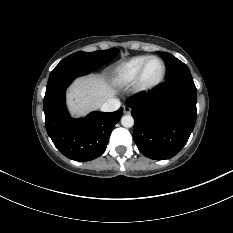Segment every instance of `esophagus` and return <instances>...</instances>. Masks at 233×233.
Listing matches in <instances>:
<instances>
[{"label": "esophagus", "instance_id": "obj_1", "mask_svg": "<svg viewBox=\"0 0 233 233\" xmlns=\"http://www.w3.org/2000/svg\"><path fill=\"white\" fill-rule=\"evenodd\" d=\"M123 111L125 114H129L131 112V108L127 105H124L123 106Z\"/></svg>", "mask_w": 233, "mask_h": 233}]
</instances>
